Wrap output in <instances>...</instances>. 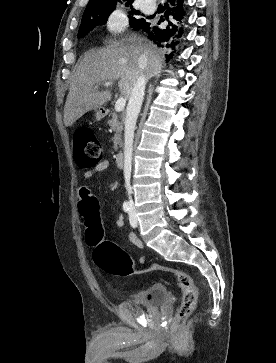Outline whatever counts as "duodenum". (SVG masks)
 Listing matches in <instances>:
<instances>
[{
    "mask_svg": "<svg viewBox=\"0 0 276 363\" xmlns=\"http://www.w3.org/2000/svg\"><path fill=\"white\" fill-rule=\"evenodd\" d=\"M115 160H116L117 166H122L124 163V153L122 151L117 152Z\"/></svg>",
    "mask_w": 276,
    "mask_h": 363,
    "instance_id": "duodenum-1",
    "label": "duodenum"
}]
</instances>
